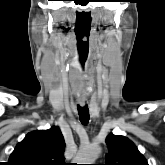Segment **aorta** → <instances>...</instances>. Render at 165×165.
<instances>
[{
  "instance_id": "aorta-1",
  "label": "aorta",
  "mask_w": 165,
  "mask_h": 165,
  "mask_svg": "<svg viewBox=\"0 0 165 165\" xmlns=\"http://www.w3.org/2000/svg\"><path fill=\"white\" fill-rule=\"evenodd\" d=\"M100 153V148L96 145H90L81 148L74 158L77 164H94Z\"/></svg>"
}]
</instances>
